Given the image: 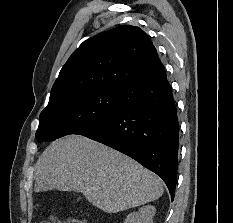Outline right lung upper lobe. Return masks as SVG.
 Wrapping results in <instances>:
<instances>
[{"label":"right lung upper lobe","mask_w":233,"mask_h":223,"mask_svg":"<svg viewBox=\"0 0 233 223\" xmlns=\"http://www.w3.org/2000/svg\"><path fill=\"white\" fill-rule=\"evenodd\" d=\"M163 69L142 29L118 26L86 40L73 52L52 87L49 101L92 88L122 89Z\"/></svg>","instance_id":"cb5924a9"}]
</instances>
